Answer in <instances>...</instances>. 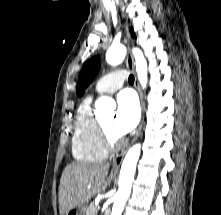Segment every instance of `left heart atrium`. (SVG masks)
Masks as SVG:
<instances>
[{
  "label": "left heart atrium",
  "instance_id": "1",
  "mask_svg": "<svg viewBox=\"0 0 221 215\" xmlns=\"http://www.w3.org/2000/svg\"><path fill=\"white\" fill-rule=\"evenodd\" d=\"M140 118V109L136 96L130 90H124L117 96V111L112 130L122 136L131 132Z\"/></svg>",
  "mask_w": 221,
  "mask_h": 215
}]
</instances>
